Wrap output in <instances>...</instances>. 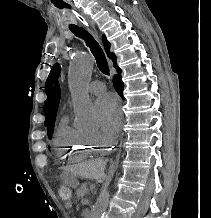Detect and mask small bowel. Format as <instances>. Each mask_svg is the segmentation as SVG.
<instances>
[{"label": "small bowel", "mask_w": 211, "mask_h": 218, "mask_svg": "<svg viewBox=\"0 0 211 218\" xmlns=\"http://www.w3.org/2000/svg\"><path fill=\"white\" fill-rule=\"evenodd\" d=\"M65 205H66L67 208H71V207H72V202H71V201H68V202H66Z\"/></svg>", "instance_id": "obj_1"}]
</instances>
